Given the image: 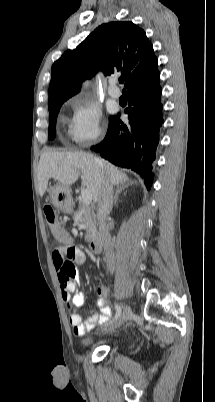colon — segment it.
I'll return each mask as SVG.
<instances>
[{"instance_id":"colon-1","label":"colon","mask_w":215,"mask_h":402,"mask_svg":"<svg viewBox=\"0 0 215 402\" xmlns=\"http://www.w3.org/2000/svg\"><path fill=\"white\" fill-rule=\"evenodd\" d=\"M44 215L52 235L57 239V243L68 244L70 242V237L65 235L64 231L62 230L59 222L57 221L54 209L51 206H46L44 208ZM66 270H71V266L68 265Z\"/></svg>"}]
</instances>
